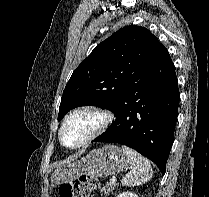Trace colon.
I'll return each mask as SVG.
<instances>
[{
  "label": "colon",
  "mask_w": 209,
  "mask_h": 197,
  "mask_svg": "<svg viewBox=\"0 0 209 197\" xmlns=\"http://www.w3.org/2000/svg\"><path fill=\"white\" fill-rule=\"evenodd\" d=\"M98 187V181L82 174L77 180L66 182L59 186V197H89L91 192Z\"/></svg>",
  "instance_id": "1"
}]
</instances>
